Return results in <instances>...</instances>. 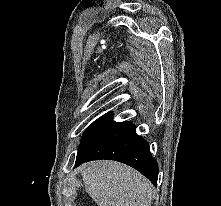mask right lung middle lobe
I'll return each instance as SVG.
<instances>
[{
	"label": "right lung middle lobe",
	"instance_id": "obj_1",
	"mask_svg": "<svg viewBox=\"0 0 221 206\" xmlns=\"http://www.w3.org/2000/svg\"><path fill=\"white\" fill-rule=\"evenodd\" d=\"M112 116V113L103 115L85 130L78 148L77 158H79L99 136L115 124L112 120Z\"/></svg>",
	"mask_w": 221,
	"mask_h": 206
}]
</instances>
